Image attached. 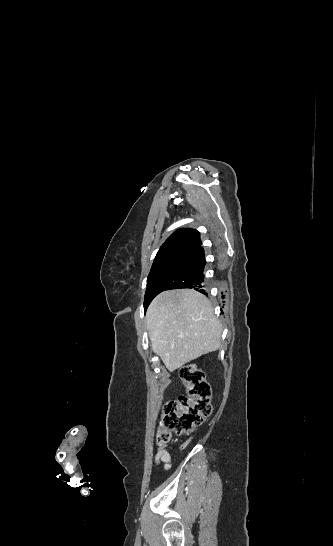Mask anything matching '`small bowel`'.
Listing matches in <instances>:
<instances>
[{
	"instance_id": "small-bowel-1",
	"label": "small bowel",
	"mask_w": 333,
	"mask_h": 546,
	"mask_svg": "<svg viewBox=\"0 0 333 546\" xmlns=\"http://www.w3.org/2000/svg\"><path fill=\"white\" fill-rule=\"evenodd\" d=\"M171 456L170 453L164 447H158L155 455V464H163L165 469L170 468Z\"/></svg>"
}]
</instances>
